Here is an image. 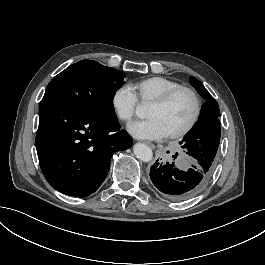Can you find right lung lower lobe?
<instances>
[{"label": "right lung lower lobe", "mask_w": 265, "mask_h": 265, "mask_svg": "<svg viewBox=\"0 0 265 265\" xmlns=\"http://www.w3.org/2000/svg\"><path fill=\"white\" fill-rule=\"evenodd\" d=\"M132 143L117 120L58 103H40L39 163L46 180L61 193L86 197L95 192L109 171L113 153Z\"/></svg>", "instance_id": "1"}]
</instances>
